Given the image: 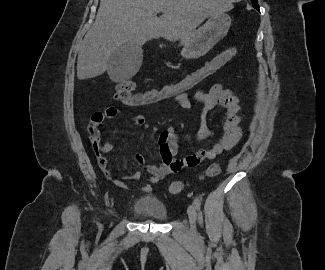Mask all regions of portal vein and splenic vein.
<instances>
[{
	"instance_id": "18ae733b",
	"label": "portal vein and splenic vein",
	"mask_w": 325,
	"mask_h": 270,
	"mask_svg": "<svg viewBox=\"0 0 325 270\" xmlns=\"http://www.w3.org/2000/svg\"><path fill=\"white\" fill-rule=\"evenodd\" d=\"M158 11H161V12H162V11H163V9H161V8H160V9H158Z\"/></svg>"
}]
</instances>
